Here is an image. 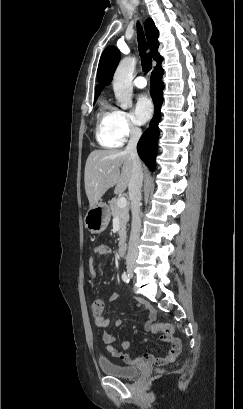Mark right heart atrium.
<instances>
[{"mask_svg":"<svg viewBox=\"0 0 243 409\" xmlns=\"http://www.w3.org/2000/svg\"><path fill=\"white\" fill-rule=\"evenodd\" d=\"M113 129L121 141L134 136L138 132V127L132 123L130 115L126 111L120 109L116 110L114 114Z\"/></svg>","mask_w":243,"mask_h":409,"instance_id":"d8ad5b80","label":"right heart atrium"}]
</instances>
